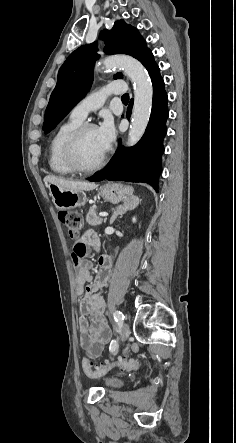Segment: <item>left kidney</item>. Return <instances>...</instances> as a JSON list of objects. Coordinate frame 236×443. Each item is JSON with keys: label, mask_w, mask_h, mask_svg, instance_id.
<instances>
[{"label": "left kidney", "mask_w": 236, "mask_h": 443, "mask_svg": "<svg viewBox=\"0 0 236 443\" xmlns=\"http://www.w3.org/2000/svg\"><path fill=\"white\" fill-rule=\"evenodd\" d=\"M132 221H133V222H136V218L134 217V218L132 219Z\"/></svg>", "instance_id": "1"}]
</instances>
